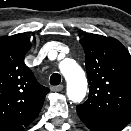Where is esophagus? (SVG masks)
Returning <instances> with one entry per match:
<instances>
[{"instance_id": "1", "label": "esophagus", "mask_w": 131, "mask_h": 131, "mask_svg": "<svg viewBox=\"0 0 131 131\" xmlns=\"http://www.w3.org/2000/svg\"><path fill=\"white\" fill-rule=\"evenodd\" d=\"M51 90H52L53 92H60V91L63 90V85L52 86V87H51Z\"/></svg>"}]
</instances>
